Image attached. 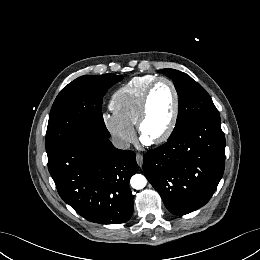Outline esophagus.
<instances>
[{
  "label": "esophagus",
  "instance_id": "1",
  "mask_svg": "<svg viewBox=\"0 0 260 260\" xmlns=\"http://www.w3.org/2000/svg\"><path fill=\"white\" fill-rule=\"evenodd\" d=\"M136 161H137L138 166L141 167L143 164V156L139 153L136 154Z\"/></svg>",
  "mask_w": 260,
  "mask_h": 260
}]
</instances>
